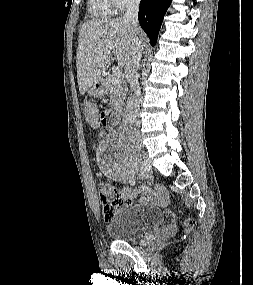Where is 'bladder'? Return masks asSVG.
<instances>
[{
  "label": "bladder",
  "mask_w": 253,
  "mask_h": 285,
  "mask_svg": "<svg viewBox=\"0 0 253 285\" xmlns=\"http://www.w3.org/2000/svg\"><path fill=\"white\" fill-rule=\"evenodd\" d=\"M164 221L163 210L131 204L121 208L107 223L106 232L114 240L130 242L161 226Z\"/></svg>",
  "instance_id": "31cf9c89"
}]
</instances>
